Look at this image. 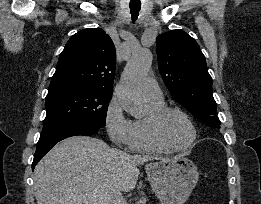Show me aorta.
<instances>
[{
  "label": "aorta",
  "mask_w": 261,
  "mask_h": 204,
  "mask_svg": "<svg viewBox=\"0 0 261 204\" xmlns=\"http://www.w3.org/2000/svg\"><path fill=\"white\" fill-rule=\"evenodd\" d=\"M152 59L153 56L149 49L134 51L124 68L117 87V96L125 111L135 118H141L144 115L139 85L148 74Z\"/></svg>",
  "instance_id": "aorta-1"
}]
</instances>
